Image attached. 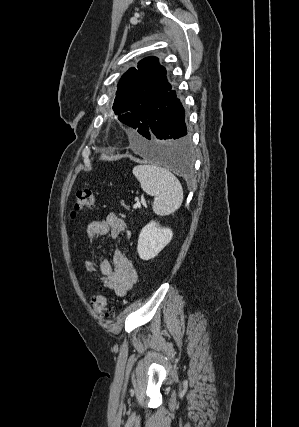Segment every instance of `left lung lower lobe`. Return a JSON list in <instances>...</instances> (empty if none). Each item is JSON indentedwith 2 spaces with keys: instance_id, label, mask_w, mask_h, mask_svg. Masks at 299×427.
<instances>
[{
  "instance_id": "0a47b994",
  "label": "left lung lower lobe",
  "mask_w": 299,
  "mask_h": 427,
  "mask_svg": "<svg viewBox=\"0 0 299 427\" xmlns=\"http://www.w3.org/2000/svg\"><path fill=\"white\" fill-rule=\"evenodd\" d=\"M138 122L132 126L150 142L138 150L155 163L174 171L187 173L191 168L190 134L185 124V112L180 100L171 90L166 98L139 109Z\"/></svg>"
}]
</instances>
